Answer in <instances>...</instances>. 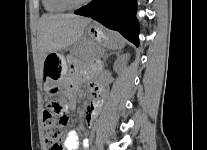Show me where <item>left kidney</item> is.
Returning <instances> with one entry per match:
<instances>
[{"instance_id":"1","label":"left kidney","mask_w":207,"mask_h":150,"mask_svg":"<svg viewBox=\"0 0 207 150\" xmlns=\"http://www.w3.org/2000/svg\"><path fill=\"white\" fill-rule=\"evenodd\" d=\"M125 57L127 58V55H123L122 57L118 58L116 61H115V64H114V69L117 70V68L120 66V64L125 60Z\"/></svg>"}]
</instances>
